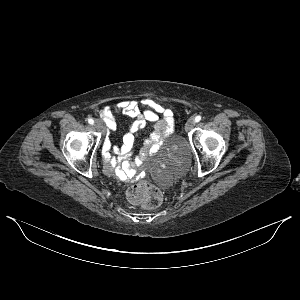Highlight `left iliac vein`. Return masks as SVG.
<instances>
[{"label":"left iliac vein","mask_w":300,"mask_h":300,"mask_svg":"<svg viewBox=\"0 0 300 300\" xmlns=\"http://www.w3.org/2000/svg\"><path fill=\"white\" fill-rule=\"evenodd\" d=\"M195 125V119L194 118H189L186 122V125H185V130L186 131H190Z\"/></svg>","instance_id":"left-iliac-vein-1"}]
</instances>
